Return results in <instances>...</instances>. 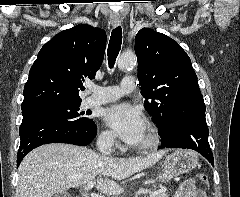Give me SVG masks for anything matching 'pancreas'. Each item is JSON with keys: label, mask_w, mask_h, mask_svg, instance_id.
Segmentation results:
<instances>
[{"label": "pancreas", "mask_w": 240, "mask_h": 197, "mask_svg": "<svg viewBox=\"0 0 240 197\" xmlns=\"http://www.w3.org/2000/svg\"><path fill=\"white\" fill-rule=\"evenodd\" d=\"M151 197H168V195L165 192H159L156 194H152Z\"/></svg>", "instance_id": "pancreas-1"}]
</instances>
